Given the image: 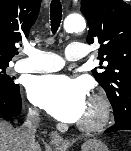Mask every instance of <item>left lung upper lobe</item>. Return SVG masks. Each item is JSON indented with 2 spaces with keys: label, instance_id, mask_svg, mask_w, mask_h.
<instances>
[{
  "label": "left lung upper lobe",
  "instance_id": "1",
  "mask_svg": "<svg viewBox=\"0 0 131 151\" xmlns=\"http://www.w3.org/2000/svg\"><path fill=\"white\" fill-rule=\"evenodd\" d=\"M81 12L89 25L87 42L100 44V64L92 73L106 91L115 119L131 116V5L123 0H81ZM104 61L107 66H102Z\"/></svg>",
  "mask_w": 131,
  "mask_h": 151
}]
</instances>
